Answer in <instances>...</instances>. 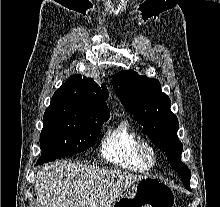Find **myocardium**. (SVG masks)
<instances>
[{
    "label": "myocardium",
    "instance_id": "obj_1",
    "mask_svg": "<svg viewBox=\"0 0 220 207\" xmlns=\"http://www.w3.org/2000/svg\"><path fill=\"white\" fill-rule=\"evenodd\" d=\"M136 152L138 158L148 168L152 167L157 162V152L155 147L145 139H138L136 142Z\"/></svg>",
    "mask_w": 220,
    "mask_h": 207
}]
</instances>
